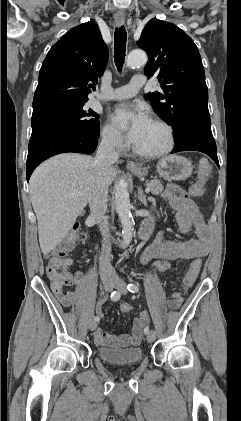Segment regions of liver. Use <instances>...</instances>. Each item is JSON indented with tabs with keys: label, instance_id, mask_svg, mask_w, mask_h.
Listing matches in <instances>:
<instances>
[{
	"label": "liver",
	"instance_id": "1",
	"mask_svg": "<svg viewBox=\"0 0 241 421\" xmlns=\"http://www.w3.org/2000/svg\"><path fill=\"white\" fill-rule=\"evenodd\" d=\"M94 160L78 153L59 154L43 162L33 172L29 193L44 255L61 243L88 204L99 180ZM116 175L117 169L113 166L106 171L108 186ZM74 192H81V196L69 197Z\"/></svg>",
	"mask_w": 241,
	"mask_h": 421
}]
</instances>
